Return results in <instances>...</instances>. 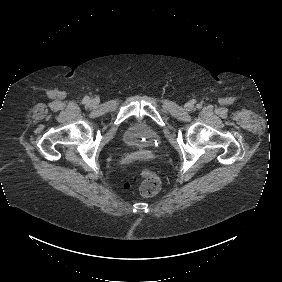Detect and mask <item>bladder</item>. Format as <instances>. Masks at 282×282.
<instances>
[{
  "mask_svg": "<svg viewBox=\"0 0 282 282\" xmlns=\"http://www.w3.org/2000/svg\"><path fill=\"white\" fill-rule=\"evenodd\" d=\"M123 142L133 149H153L160 142L158 132L145 121H135L123 133Z\"/></svg>",
  "mask_w": 282,
  "mask_h": 282,
  "instance_id": "obj_1",
  "label": "bladder"
}]
</instances>
